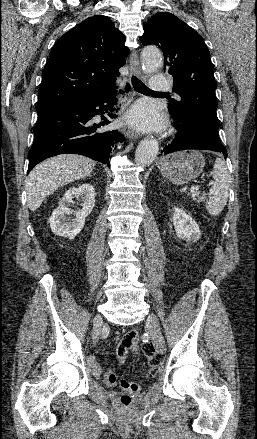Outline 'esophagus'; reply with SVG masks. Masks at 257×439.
I'll use <instances>...</instances> for the list:
<instances>
[{"instance_id": "obj_1", "label": "esophagus", "mask_w": 257, "mask_h": 439, "mask_svg": "<svg viewBox=\"0 0 257 439\" xmlns=\"http://www.w3.org/2000/svg\"><path fill=\"white\" fill-rule=\"evenodd\" d=\"M130 71L134 75L140 74L139 59H138L137 52L135 50L131 53V56H130ZM123 131H124L125 136L129 139H137L138 138V134L134 130L130 129L129 127L124 128Z\"/></svg>"}]
</instances>
